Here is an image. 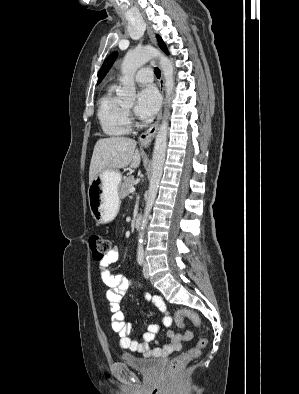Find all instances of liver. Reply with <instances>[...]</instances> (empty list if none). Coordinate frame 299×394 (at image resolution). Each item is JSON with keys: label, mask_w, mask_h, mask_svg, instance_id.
Segmentation results:
<instances>
[{"label": "liver", "mask_w": 299, "mask_h": 394, "mask_svg": "<svg viewBox=\"0 0 299 394\" xmlns=\"http://www.w3.org/2000/svg\"><path fill=\"white\" fill-rule=\"evenodd\" d=\"M136 141L128 137H108L99 139L94 147L89 169V184L103 171L137 168L141 153L136 149Z\"/></svg>", "instance_id": "liver-1"}]
</instances>
